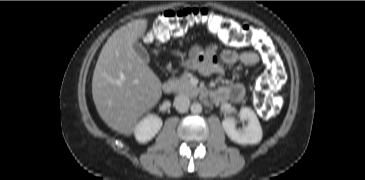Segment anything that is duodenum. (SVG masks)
<instances>
[{"instance_id":"410a0bca","label":"duodenum","mask_w":365,"mask_h":180,"mask_svg":"<svg viewBox=\"0 0 365 180\" xmlns=\"http://www.w3.org/2000/svg\"><path fill=\"white\" fill-rule=\"evenodd\" d=\"M162 89L166 93H172L175 90V83L173 81H165L163 83ZM210 95L208 93L203 94V99L210 100Z\"/></svg>"}]
</instances>
